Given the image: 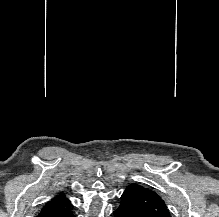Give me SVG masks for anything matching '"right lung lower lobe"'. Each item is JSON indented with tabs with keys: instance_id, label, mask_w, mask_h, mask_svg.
Wrapping results in <instances>:
<instances>
[{
	"instance_id": "right-lung-lower-lobe-1",
	"label": "right lung lower lobe",
	"mask_w": 219,
	"mask_h": 217,
	"mask_svg": "<svg viewBox=\"0 0 219 217\" xmlns=\"http://www.w3.org/2000/svg\"><path fill=\"white\" fill-rule=\"evenodd\" d=\"M49 217H75V216L72 213L71 209H69L56 215H50Z\"/></svg>"
}]
</instances>
